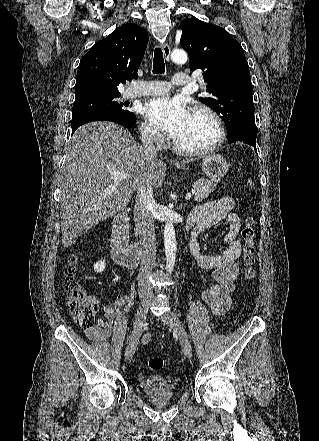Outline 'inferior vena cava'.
<instances>
[{
    "instance_id": "inferior-vena-cava-1",
    "label": "inferior vena cava",
    "mask_w": 319,
    "mask_h": 441,
    "mask_svg": "<svg viewBox=\"0 0 319 441\" xmlns=\"http://www.w3.org/2000/svg\"><path fill=\"white\" fill-rule=\"evenodd\" d=\"M154 138L155 135L152 131H146L142 135L145 152L151 157L157 156V151L153 147ZM154 205L152 187L147 185V188L139 191L134 206L136 234L140 238L142 250L141 267L138 276V292L140 296H152L153 294V288L148 280V276L152 272L156 260L154 218L150 211V208Z\"/></svg>"
}]
</instances>
